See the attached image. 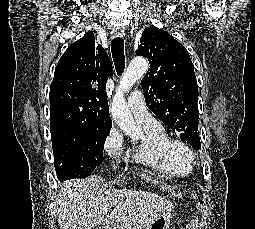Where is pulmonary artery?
I'll list each match as a JSON object with an SVG mask.
<instances>
[{
  "mask_svg": "<svg viewBox=\"0 0 255 229\" xmlns=\"http://www.w3.org/2000/svg\"><path fill=\"white\" fill-rule=\"evenodd\" d=\"M128 106L136 120L147 127H157L160 123L148 112L141 91L134 90L128 96Z\"/></svg>",
  "mask_w": 255,
  "mask_h": 229,
  "instance_id": "1",
  "label": "pulmonary artery"
}]
</instances>
